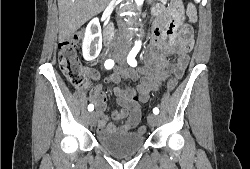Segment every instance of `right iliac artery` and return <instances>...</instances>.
<instances>
[{"label":"right iliac artery","instance_id":"obj_1","mask_svg":"<svg viewBox=\"0 0 250 169\" xmlns=\"http://www.w3.org/2000/svg\"><path fill=\"white\" fill-rule=\"evenodd\" d=\"M104 66L106 69H111L114 66V61L112 59H108L105 61ZM94 105L89 104L88 105V111H93Z\"/></svg>","mask_w":250,"mask_h":169}]
</instances>
